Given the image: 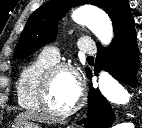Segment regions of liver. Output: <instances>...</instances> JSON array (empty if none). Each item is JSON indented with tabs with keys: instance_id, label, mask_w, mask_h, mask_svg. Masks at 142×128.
<instances>
[{
	"instance_id": "liver-1",
	"label": "liver",
	"mask_w": 142,
	"mask_h": 128,
	"mask_svg": "<svg viewBox=\"0 0 142 128\" xmlns=\"http://www.w3.org/2000/svg\"><path fill=\"white\" fill-rule=\"evenodd\" d=\"M25 120L39 121V122H52L53 120L43 114L37 112L26 111L17 115L15 122L19 123Z\"/></svg>"
}]
</instances>
